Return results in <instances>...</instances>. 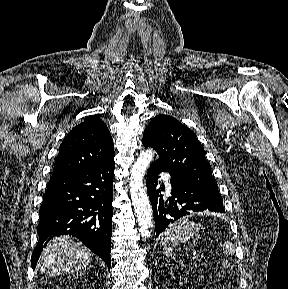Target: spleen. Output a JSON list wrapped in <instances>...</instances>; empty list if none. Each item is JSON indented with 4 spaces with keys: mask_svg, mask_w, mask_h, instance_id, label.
<instances>
[{
    "mask_svg": "<svg viewBox=\"0 0 288 289\" xmlns=\"http://www.w3.org/2000/svg\"><path fill=\"white\" fill-rule=\"evenodd\" d=\"M202 226L199 224H192L186 218H182L177 222L171 224L161 234V244L164 248L166 256L173 255V247L178 246L182 242L188 241L192 236L196 235ZM223 266H228V261H223Z\"/></svg>",
    "mask_w": 288,
    "mask_h": 289,
    "instance_id": "1",
    "label": "spleen"
}]
</instances>
